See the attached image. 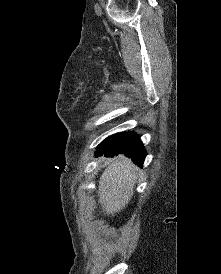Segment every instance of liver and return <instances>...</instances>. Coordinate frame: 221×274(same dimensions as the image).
Segmentation results:
<instances>
[{
  "label": "liver",
  "mask_w": 221,
  "mask_h": 274,
  "mask_svg": "<svg viewBox=\"0 0 221 274\" xmlns=\"http://www.w3.org/2000/svg\"><path fill=\"white\" fill-rule=\"evenodd\" d=\"M136 167L123 155L111 159L99 181V203L107 215L120 212L134 194Z\"/></svg>",
  "instance_id": "liver-1"
}]
</instances>
